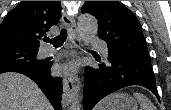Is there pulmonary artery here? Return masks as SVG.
<instances>
[{"mask_svg": "<svg viewBox=\"0 0 171 110\" xmlns=\"http://www.w3.org/2000/svg\"><path fill=\"white\" fill-rule=\"evenodd\" d=\"M90 42L94 47H96L100 50L101 54L104 57L108 56V48L102 40H100L98 38H91ZM43 54L46 56L51 55V54H53V50L51 48H48V49L44 50Z\"/></svg>", "mask_w": 171, "mask_h": 110, "instance_id": "e3ab8cb5", "label": "pulmonary artery"}]
</instances>
